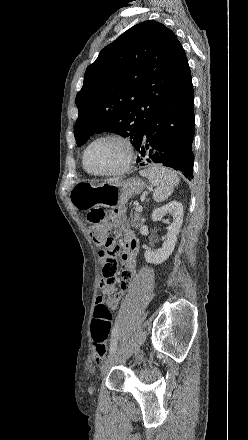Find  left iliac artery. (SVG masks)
<instances>
[{
	"label": "left iliac artery",
	"mask_w": 248,
	"mask_h": 440,
	"mask_svg": "<svg viewBox=\"0 0 248 440\" xmlns=\"http://www.w3.org/2000/svg\"><path fill=\"white\" fill-rule=\"evenodd\" d=\"M117 343H118V337H117V330L114 329L112 332L111 342H110V354H113L117 350Z\"/></svg>",
	"instance_id": "44dca946"
}]
</instances>
